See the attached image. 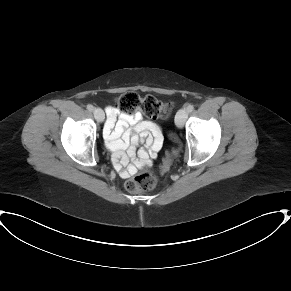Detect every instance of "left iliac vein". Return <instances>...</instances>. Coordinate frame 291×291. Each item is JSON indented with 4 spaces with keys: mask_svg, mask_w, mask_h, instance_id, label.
Returning <instances> with one entry per match:
<instances>
[{
    "mask_svg": "<svg viewBox=\"0 0 291 291\" xmlns=\"http://www.w3.org/2000/svg\"><path fill=\"white\" fill-rule=\"evenodd\" d=\"M188 117V111L186 109H180L176 113L175 116V124L178 128H182L186 122V119Z\"/></svg>",
    "mask_w": 291,
    "mask_h": 291,
    "instance_id": "obj_1",
    "label": "left iliac vein"
}]
</instances>
